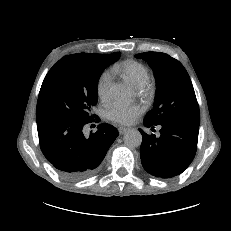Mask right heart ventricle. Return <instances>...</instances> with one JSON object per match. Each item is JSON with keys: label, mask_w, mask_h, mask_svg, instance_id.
I'll return each mask as SVG.
<instances>
[{"label": "right heart ventricle", "mask_w": 231, "mask_h": 231, "mask_svg": "<svg viewBox=\"0 0 231 231\" xmlns=\"http://www.w3.org/2000/svg\"><path fill=\"white\" fill-rule=\"evenodd\" d=\"M113 72L135 88H140L149 78L147 67L135 60H125L113 67Z\"/></svg>", "instance_id": "right-heart-ventricle-1"}]
</instances>
